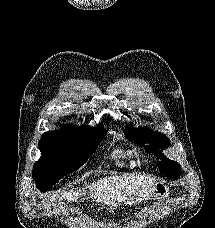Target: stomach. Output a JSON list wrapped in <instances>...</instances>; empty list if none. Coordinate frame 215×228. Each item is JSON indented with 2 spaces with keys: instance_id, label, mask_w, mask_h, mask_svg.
Segmentation results:
<instances>
[{
  "instance_id": "stomach-1",
  "label": "stomach",
  "mask_w": 215,
  "mask_h": 228,
  "mask_svg": "<svg viewBox=\"0 0 215 228\" xmlns=\"http://www.w3.org/2000/svg\"><path fill=\"white\" fill-rule=\"evenodd\" d=\"M153 196H154V200H161V198H168L169 196L168 186H165V184H161V182H158V184L154 186Z\"/></svg>"
}]
</instances>
